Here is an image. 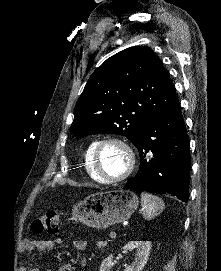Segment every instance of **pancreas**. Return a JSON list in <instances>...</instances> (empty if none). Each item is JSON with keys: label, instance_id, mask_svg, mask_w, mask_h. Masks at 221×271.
Instances as JSON below:
<instances>
[{"label": "pancreas", "instance_id": "pancreas-1", "mask_svg": "<svg viewBox=\"0 0 221 271\" xmlns=\"http://www.w3.org/2000/svg\"><path fill=\"white\" fill-rule=\"evenodd\" d=\"M109 239H96L95 247H108L110 244Z\"/></svg>", "mask_w": 221, "mask_h": 271}]
</instances>
